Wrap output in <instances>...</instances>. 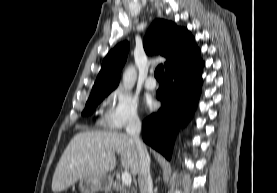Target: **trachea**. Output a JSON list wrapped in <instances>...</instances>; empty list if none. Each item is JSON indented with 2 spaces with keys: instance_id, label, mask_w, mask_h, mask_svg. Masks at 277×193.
Wrapping results in <instances>:
<instances>
[{
  "instance_id": "3493384b",
  "label": "trachea",
  "mask_w": 277,
  "mask_h": 193,
  "mask_svg": "<svg viewBox=\"0 0 277 193\" xmlns=\"http://www.w3.org/2000/svg\"><path fill=\"white\" fill-rule=\"evenodd\" d=\"M163 71H164V68H163V65H159L156 69H155V72H154V76L157 80H162L163 78Z\"/></svg>"
}]
</instances>
